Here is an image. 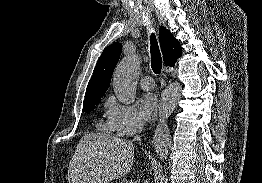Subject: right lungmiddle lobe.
<instances>
[{
	"label": "right lung middle lobe",
	"mask_w": 262,
	"mask_h": 183,
	"mask_svg": "<svg viewBox=\"0 0 262 183\" xmlns=\"http://www.w3.org/2000/svg\"><path fill=\"white\" fill-rule=\"evenodd\" d=\"M99 101H100V98L95 99V100L84 101L83 102V112L89 113L90 111H92L95 108V105L99 103Z\"/></svg>",
	"instance_id": "1"
}]
</instances>
